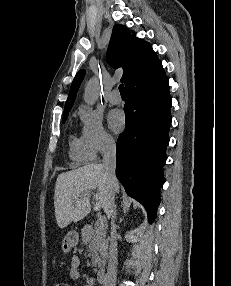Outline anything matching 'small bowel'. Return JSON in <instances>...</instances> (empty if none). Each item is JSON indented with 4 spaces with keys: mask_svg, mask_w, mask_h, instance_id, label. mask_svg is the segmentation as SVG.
I'll return each mask as SVG.
<instances>
[{
    "mask_svg": "<svg viewBox=\"0 0 231 286\" xmlns=\"http://www.w3.org/2000/svg\"><path fill=\"white\" fill-rule=\"evenodd\" d=\"M70 277L74 280L80 279L81 277L85 278L88 285L92 286L93 280L85 275H82L80 272V259L77 256H73L70 262Z\"/></svg>",
    "mask_w": 231,
    "mask_h": 286,
    "instance_id": "1",
    "label": "small bowel"
}]
</instances>
